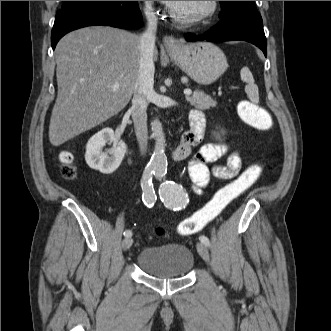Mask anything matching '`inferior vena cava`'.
Instances as JSON below:
<instances>
[{"label": "inferior vena cava", "mask_w": 331, "mask_h": 331, "mask_svg": "<svg viewBox=\"0 0 331 331\" xmlns=\"http://www.w3.org/2000/svg\"><path fill=\"white\" fill-rule=\"evenodd\" d=\"M147 29L140 37V65L138 79L132 99V119L141 154H145L148 144L147 113L149 99L154 93V49L157 17L152 9L145 10Z\"/></svg>", "instance_id": "obj_1"}]
</instances>
